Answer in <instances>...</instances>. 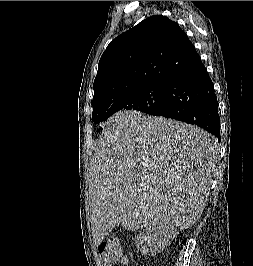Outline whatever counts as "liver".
<instances>
[{
  "instance_id": "obj_1",
  "label": "liver",
  "mask_w": 253,
  "mask_h": 266,
  "mask_svg": "<svg viewBox=\"0 0 253 266\" xmlns=\"http://www.w3.org/2000/svg\"><path fill=\"white\" fill-rule=\"evenodd\" d=\"M218 159L216 139L187 123L124 111L106 123L90 162L95 245L121 224L134 231L201 217Z\"/></svg>"
}]
</instances>
